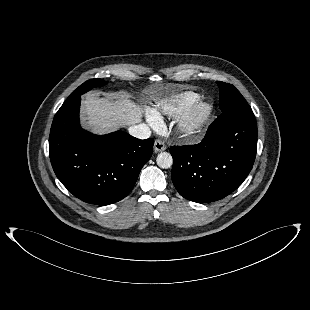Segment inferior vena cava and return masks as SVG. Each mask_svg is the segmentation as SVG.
Segmentation results:
<instances>
[{
    "mask_svg": "<svg viewBox=\"0 0 310 310\" xmlns=\"http://www.w3.org/2000/svg\"><path fill=\"white\" fill-rule=\"evenodd\" d=\"M129 134L138 139H147L151 136V130L146 124H138L129 127Z\"/></svg>",
    "mask_w": 310,
    "mask_h": 310,
    "instance_id": "1",
    "label": "inferior vena cava"
}]
</instances>
